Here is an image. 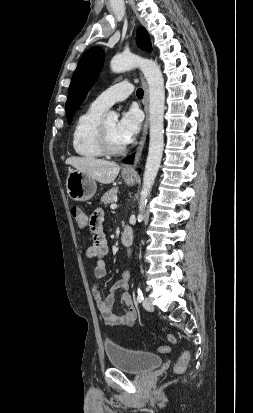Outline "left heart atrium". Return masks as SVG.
<instances>
[{"instance_id":"obj_1","label":"left heart atrium","mask_w":253,"mask_h":413,"mask_svg":"<svg viewBox=\"0 0 253 413\" xmlns=\"http://www.w3.org/2000/svg\"><path fill=\"white\" fill-rule=\"evenodd\" d=\"M141 127V117L137 110L130 109L122 113L116 124V136L118 140L127 145L131 143L139 133Z\"/></svg>"}]
</instances>
